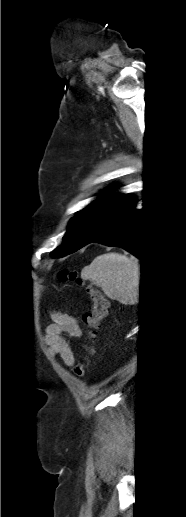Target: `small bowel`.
Returning <instances> with one entry per match:
<instances>
[{
    "mask_svg": "<svg viewBox=\"0 0 186 517\" xmlns=\"http://www.w3.org/2000/svg\"><path fill=\"white\" fill-rule=\"evenodd\" d=\"M65 336L75 338L82 336L78 320L69 314L54 312L52 323L46 330L45 342L51 356H59L67 366H73L75 356Z\"/></svg>",
    "mask_w": 186,
    "mask_h": 517,
    "instance_id": "small-bowel-1",
    "label": "small bowel"
}]
</instances>
